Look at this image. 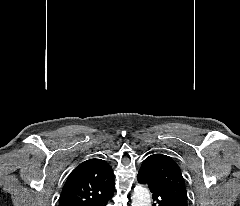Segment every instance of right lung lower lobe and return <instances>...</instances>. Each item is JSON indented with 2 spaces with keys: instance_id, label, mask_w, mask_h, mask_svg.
<instances>
[{
  "instance_id": "right-lung-lower-lobe-1",
  "label": "right lung lower lobe",
  "mask_w": 240,
  "mask_h": 206,
  "mask_svg": "<svg viewBox=\"0 0 240 206\" xmlns=\"http://www.w3.org/2000/svg\"><path fill=\"white\" fill-rule=\"evenodd\" d=\"M112 195L113 194L101 199L99 202L93 204L92 206H106L107 202L109 201V199H111Z\"/></svg>"
}]
</instances>
